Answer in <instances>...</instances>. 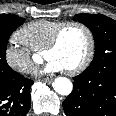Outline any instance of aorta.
Instances as JSON below:
<instances>
[{
	"label": "aorta",
	"instance_id": "762f6f07",
	"mask_svg": "<svg viewBox=\"0 0 116 116\" xmlns=\"http://www.w3.org/2000/svg\"><path fill=\"white\" fill-rule=\"evenodd\" d=\"M54 90L60 95H69L72 91V82L66 77H57L53 82Z\"/></svg>",
	"mask_w": 116,
	"mask_h": 116
}]
</instances>
